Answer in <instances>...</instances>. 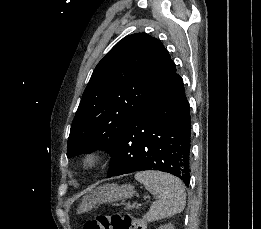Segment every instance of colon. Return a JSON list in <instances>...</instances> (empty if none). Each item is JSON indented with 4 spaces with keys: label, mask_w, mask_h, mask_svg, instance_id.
Listing matches in <instances>:
<instances>
[{
    "label": "colon",
    "mask_w": 261,
    "mask_h": 229,
    "mask_svg": "<svg viewBox=\"0 0 261 229\" xmlns=\"http://www.w3.org/2000/svg\"><path fill=\"white\" fill-rule=\"evenodd\" d=\"M83 229H139L137 220L129 213L107 211L88 220Z\"/></svg>",
    "instance_id": "obj_1"
}]
</instances>
